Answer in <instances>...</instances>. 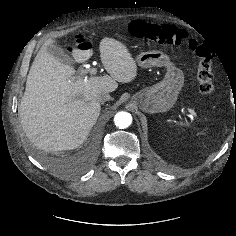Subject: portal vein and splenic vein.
<instances>
[{
    "instance_id": "18ae733b",
    "label": "portal vein and splenic vein",
    "mask_w": 236,
    "mask_h": 236,
    "mask_svg": "<svg viewBox=\"0 0 236 236\" xmlns=\"http://www.w3.org/2000/svg\"><path fill=\"white\" fill-rule=\"evenodd\" d=\"M87 73V70H83L82 72H81V75H84V74H86ZM90 73L91 74H96L97 73V69L96 68H92L91 70H90ZM80 77V76H79ZM85 79L87 78V77H84ZM188 110V112L192 115V116H194V117H196L197 116V114H196V112L194 111V110H192V109H187Z\"/></svg>"
}]
</instances>
